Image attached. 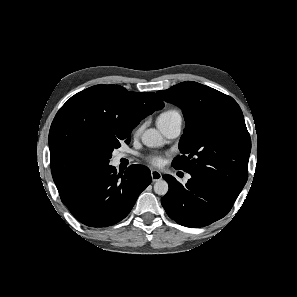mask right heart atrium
Returning a JSON list of instances; mask_svg holds the SVG:
<instances>
[{
	"label": "right heart atrium",
	"instance_id": "1",
	"mask_svg": "<svg viewBox=\"0 0 297 297\" xmlns=\"http://www.w3.org/2000/svg\"><path fill=\"white\" fill-rule=\"evenodd\" d=\"M141 130V126H139L136 130H135V134H138Z\"/></svg>",
	"mask_w": 297,
	"mask_h": 297
}]
</instances>
